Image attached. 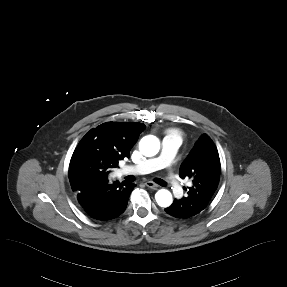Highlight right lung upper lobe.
<instances>
[{
	"instance_id": "obj_1",
	"label": "right lung upper lobe",
	"mask_w": 287,
	"mask_h": 287,
	"mask_svg": "<svg viewBox=\"0 0 287 287\" xmlns=\"http://www.w3.org/2000/svg\"><path fill=\"white\" fill-rule=\"evenodd\" d=\"M144 128L142 123H103L82 138L72 155L70 165L82 158L100 157L111 161L116 167L120 160L129 157L130 149ZM82 183L70 180L74 193L79 191Z\"/></svg>"
}]
</instances>
